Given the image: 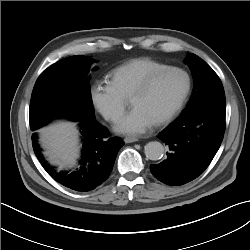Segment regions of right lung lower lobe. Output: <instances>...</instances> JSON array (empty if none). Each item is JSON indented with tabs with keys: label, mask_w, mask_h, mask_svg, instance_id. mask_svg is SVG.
I'll return each mask as SVG.
<instances>
[{
	"label": "right lung lower lobe",
	"mask_w": 250,
	"mask_h": 250,
	"mask_svg": "<svg viewBox=\"0 0 250 250\" xmlns=\"http://www.w3.org/2000/svg\"><path fill=\"white\" fill-rule=\"evenodd\" d=\"M80 122L83 151L79 166L73 171H58L49 165L38 144V131L32 134V145L38 160L47 173L63 186L87 192L101 185L110 175L117 153L124 145L119 137H109L108 130L93 120Z\"/></svg>",
	"instance_id": "98d812e1"
}]
</instances>
